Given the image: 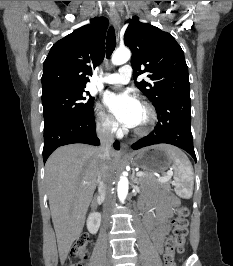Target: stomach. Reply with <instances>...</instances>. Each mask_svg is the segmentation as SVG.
Instances as JSON below:
<instances>
[{"mask_svg": "<svg viewBox=\"0 0 233 266\" xmlns=\"http://www.w3.org/2000/svg\"><path fill=\"white\" fill-rule=\"evenodd\" d=\"M130 162L147 172H167L173 163V157L166 147L151 146L129 155Z\"/></svg>", "mask_w": 233, "mask_h": 266, "instance_id": "1", "label": "stomach"}]
</instances>
